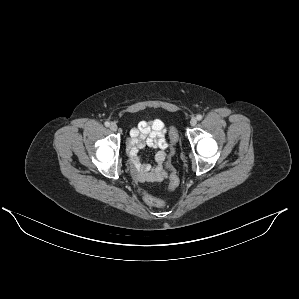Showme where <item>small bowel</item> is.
Masks as SVG:
<instances>
[{
    "instance_id": "c3829d8e",
    "label": "small bowel",
    "mask_w": 299,
    "mask_h": 299,
    "mask_svg": "<svg viewBox=\"0 0 299 299\" xmlns=\"http://www.w3.org/2000/svg\"><path fill=\"white\" fill-rule=\"evenodd\" d=\"M167 129L165 124L159 120L152 122L142 121L130 132L128 142V155L134 177L141 182H159L167 177L166 153L168 146L166 141ZM148 146L157 150L154 166L142 163L138 152Z\"/></svg>"
}]
</instances>
